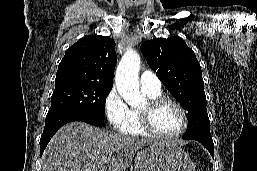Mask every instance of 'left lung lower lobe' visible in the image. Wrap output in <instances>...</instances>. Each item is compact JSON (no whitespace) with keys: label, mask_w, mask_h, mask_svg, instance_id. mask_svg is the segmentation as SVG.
<instances>
[{"label":"left lung lower lobe","mask_w":257,"mask_h":171,"mask_svg":"<svg viewBox=\"0 0 257 171\" xmlns=\"http://www.w3.org/2000/svg\"><path fill=\"white\" fill-rule=\"evenodd\" d=\"M184 140H196L200 142L214 157V143L212 140V137L207 138V137H201V136H191V137H183Z\"/></svg>","instance_id":"left-lung-lower-lobe-1"}]
</instances>
